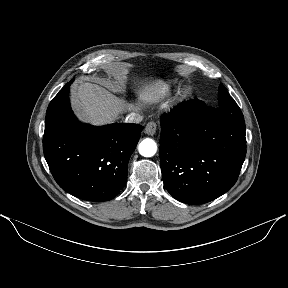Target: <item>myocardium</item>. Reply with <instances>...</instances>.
Instances as JSON below:
<instances>
[{"mask_svg": "<svg viewBox=\"0 0 288 288\" xmlns=\"http://www.w3.org/2000/svg\"><path fill=\"white\" fill-rule=\"evenodd\" d=\"M188 91L184 89L181 93V97L184 98L187 95Z\"/></svg>", "mask_w": 288, "mask_h": 288, "instance_id": "f54148a6", "label": "myocardium"}]
</instances>
